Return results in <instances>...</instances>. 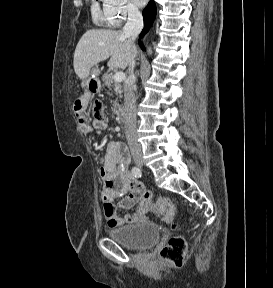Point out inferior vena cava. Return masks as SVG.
<instances>
[{
    "mask_svg": "<svg viewBox=\"0 0 273 288\" xmlns=\"http://www.w3.org/2000/svg\"><path fill=\"white\" fill-rule=\"evenodd\" d=\"M143 28V17L138 8H128V20L123 27V36L129 38L132 43L134 52L129 65V75L125 81L124 86V102H125V114H124V128L126 139L132 154L140 153L141 148L137 140L136 134V100L134 94V84L136 77L134 75L135 68V45L134 41Z\"/></svg>",
    "mask_w": 273,
    "mask_h": 288,
    "instance_id": "602c4592",
    "label": "inferior vena cava"
}]
</instances>
